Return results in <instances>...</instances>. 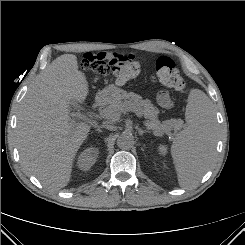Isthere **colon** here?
I'll return each mask as SVG.
<instances>
[{
    "label": "colon",
    "mask_w": 245,
    "mask_h": 245,
    "mask_svg": "<svg viewBox=\"0 0 245 245\" xmlns=\"http://www.w3.org/2000/svg\"><path fill=\"white\" fill-rule=\"evenodd\" d=\"M142 60L132 54H120L116 58H105L101 53H86L83 55L81 65L99 76L112 74L120 83H125L136 76L141 68ZM154 69L159 81L176 90L185 88V81L168 57H158L154 61Z\"/></svg>",
    "instance_id": "5ec220e1"
}]
</instances>
